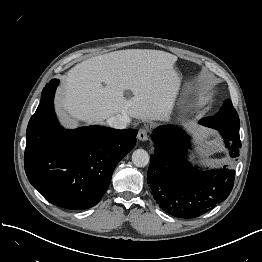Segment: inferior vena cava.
<instances>
[{
    "mask_svg": "<svg viewBox=\"0 0 262 262\" xmlns=\"http://www.w3.org/2000/svg\"><path fill=\"white\" fill-rule=\"evenodd\" d=\"M130 117L127 115L118 114L116 116H112L107 120V124L115 129H125L127 125L130 123Z\"/></svg>",
    "mask_w": 262,
    "mask_h": 262,
    "instance_id": "inferior-vena-cava-1",
    "label": "inferior vena cava"
}]
</instances>
